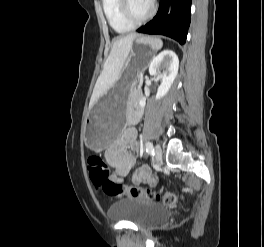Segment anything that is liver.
Instances as JSON below:
<instances>
[{
    "label": "liver",
    "mask_w": 264,
    "mask_h": 247,
    "mask_svg": "<svg viewBox=\"0 0 264 247\" xmlns=\"http://www.w3.org/2000/svg\"><path fill=\"white\" fill-rule=\"evenodd\" d=\"M138 36V34L133 33L113 41L112 49L104 63L103 71L95 84L89 103L90 109L121 77L122 69L131 50L132 43Z\"/></svg>",
    "instance_id": "liver-1"
}]
</instances>
